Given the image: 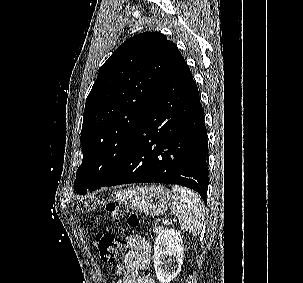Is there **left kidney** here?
Returning <instances> with one entry per match:
<instances>
[{
  "label": "left kidney",
  "mask_w": 303,
  "mask_h": 283,
  "mask_svg": "<svg viewBox=\"0 0 303 283\" xmlns=\"http://www.w3.org/2000/svg\"><path fill=\"white\" fill-rule=\"evenodd\" d=\"M183 238L174 229L162 230L154 244V269L161 283L171 282L180 272L183 262Z\"/></svg>",
  "instance_id": "1"
}]
</instances>
